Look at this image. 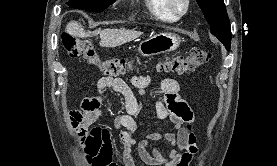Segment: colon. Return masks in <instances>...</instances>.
Returning a JSON list of instances; mask_svg holds the SVG:
<instances>
[{"instance_id":"colon-1","label":"colon","mask_w":277,"mask_h":166,"mask_svg":"<svg viewBox=\"0 0 277 166\" xmlns=\"http://www.w3.org/2000/svg\"><path fill=\"white\" fill-rule=\"evenodd\" d=\"M63 43L69 58L76 59L82 56L87 63L98 67L108 77L114 78L129 73L132 70L130 59L125 57L101 59L92 44L87 40L77 39L71 34L65 33ZM211 57L212 55L209 51L194 48L186 55L165 58L159 63L158 68L166 72L186 74L194 72L208 63ZM76 118L73 128L78 136L84 138L89 132V127H87L85 119L81 114L76 112Z\"/></svg>"}]
</instances>
